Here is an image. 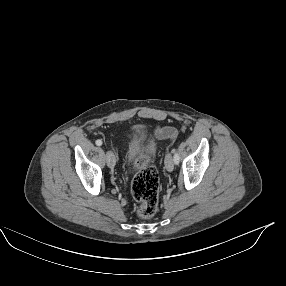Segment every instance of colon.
I'll return each instance as SVG.
<instances>
[{
    "label": "colon",
    "instance_id": "1",
    "mask_svg": "<svg viewBox=\"0 0 286 286\" xmlns=\"http://www.w3.org/2000/svg\"><path fill=\"white\" fill-rule=\"evenodd\" d=\"M160 178L158 171L151 165H143L134 177L131 191L138 202L137 214L143 219L151 218L158 209Z\"/></svg>",
    "mask_w": 286,
    "mask_h": 286
}]
</instances>
